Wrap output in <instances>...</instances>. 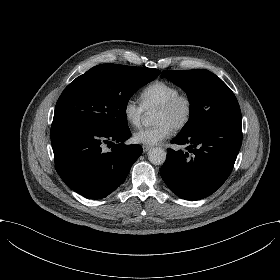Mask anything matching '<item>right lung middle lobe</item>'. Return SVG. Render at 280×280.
Masks as SVG:
<instances>
[{
  "mask_svg": "<svg viewBox=\"0 0 280 280\" xmlns=\"http://www.w3.org/2000/svg\"><path fill=\"white\" fill-rule=\"evenodd\" d=\"M158 69L101 64L70 83L60 95L53 123H78L100 131L127 126L126 107L140 87L154 80Z\"/></svg>",
  "mask_w": 280,
  "mask_h": 280,
  "instance_id": "right-lung-middle-lobe-1",
  "label": "right lung middle lobe"
}]
</instances>
